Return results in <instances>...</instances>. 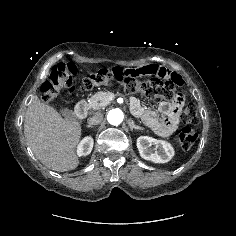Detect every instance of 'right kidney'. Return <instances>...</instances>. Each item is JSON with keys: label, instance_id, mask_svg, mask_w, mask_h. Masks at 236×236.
Masks as SVG:
<instances>
[{"label": "right kidney", "instance_id": "ca27d5eb", "mask_svg": "<svg viewBox=\"0 0 236 236\" xmlns=\"http://www.w3.org/2000/svg\"><path fill=\"white\" fill-rule=\"evenodd\" d=\"M93 138L91 136H87L81 140L77 147L78 156H87L91 153L93 148Z\"/></svg>", "mask_w": 236, "mask_h": 236}]
</instances>
